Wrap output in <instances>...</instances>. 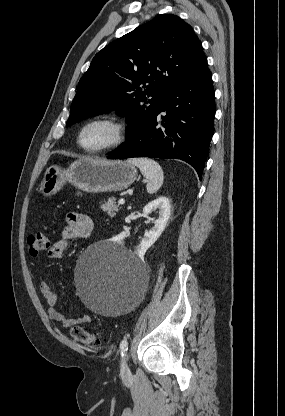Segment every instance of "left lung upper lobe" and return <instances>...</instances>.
Returning a JSON list of instances; mask_svg holds the SVG:
<instances>
[{
  "label": "left lung upper lobe",
  "mask_w": 285,
  "mask_h": 416,
  "mask_svg": "<svg viewBox=\"0 0 285 416\" xmlns=\"http://www.w3.org/2000/svg\"><path fill=\"white\" fill-rule=\"evenodd\" d=\"M203 56L189 24L173 14L155 17L95 55L79 81L66 127L115 110L125 117L128 138Z\"/></svg>",
  "instance_id": "1"
}]
</instances>
